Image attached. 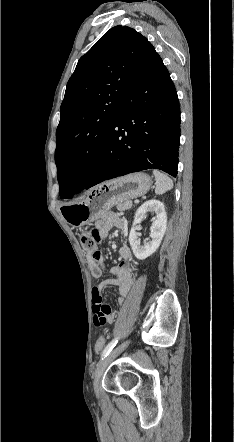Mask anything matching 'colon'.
<instances>
[{"instance_id": "5ec220e1", "label": "colon", "mask_w": 234, "mask_h": 442, "mask_svg": "<svg viewBox=\"0 0 234 442\" xmlns=\"http://www.w3.org/2000/svg\"><path fill=\"white\" fill-rule=\"evenodd\" d=\"M81 241L84 249L90 253L93 257H98L97 244L99 243V235L96 229L90 231H84L81 236ZM91 272L94 277L101 275V268L97 263L91 265ZM92 311L94 314H106L109 311V305L102 302V295L99 291L93 290L92 292ZM103 339L100 338L95 342V354L100 356L104 350Z\"/></svg>"}]
</instances>
